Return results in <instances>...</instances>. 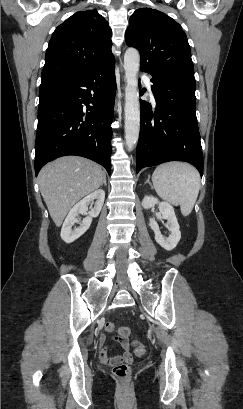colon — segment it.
Instances as JSON below:
<instances>
[{"instance_id":"1","label":"colon","mask_w":243,"mask_h":409,"mask_svg":"<svg viewBox=\"0 0 243 409\" xmlns=\"http://www.w3.org/2000/svg\"><path fill=\"white\" fill-rule=\"evenodd\" d=\"M106 329L110 332L116 331L117 333V338L120 341H125L128 340V338L131 336V330L126 327H117L114 323L109 322L106 325ZM133 346L135 349V353L137 355H143L146 351L145 347L143 344L133 341ZM113 375L122 381L123 383L127 384L130 380L131 377V368L127 362L121 363L116 365L113 368Z\"/></svg>"}]
</instances>
